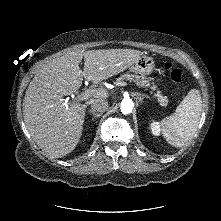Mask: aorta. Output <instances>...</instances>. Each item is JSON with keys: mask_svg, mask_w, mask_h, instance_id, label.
I'll use <instances>...</instances> for the list:
<instances>
[{"mask_svg": "<svg viewBox=\"0 0 221 221\" xmlns=\"http://www.w3.org/2000/svg\"><path fill=\"white\" fill-rule=\"evenodd\" d=\"M121 112L123 114H130L132 112L133 109V102L130 99H124L121 102Z\"/></svg>", "mask_w": 221, "mask_h": 221, "instance_id": "obj_1", "label": "aorta"}]
</instances>
